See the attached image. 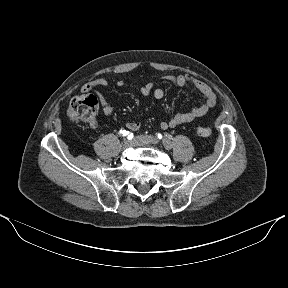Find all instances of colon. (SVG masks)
I'll return each mask as SVG.
<instances>
[{"mask_svg":"<svg viewBox=\"0 0 288 288\" xmlns=\"http://www.w3.org/2000/svg\"><path fill=\"white\" fill-rule=\"evenodd\" d=\"M98 108V100L96 96L84 94L74 97L67 109L68 117L75 122L92 123L95 121ZM197 135L207 138L212 134V129L208 126H199L196 130Z\"/></svg>","mask_w":288,"mask_h":288,"instance_id":"colon-1","label":"colon"}]
</instances>
